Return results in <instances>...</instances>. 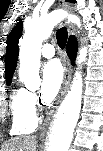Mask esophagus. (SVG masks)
<instances>
[{
    "instance_id": "esophagus-1",
    "label": "esophagus",
    "mask_w": 103,
    "mask_h": 151,
    "mask_svg": "<svg viewBox=\"0 0 103 151\" xmlns=\"http://www.w3.org/2000/svg\"><path fill=\"white\" fill-rule=\"evenodd\" d=\"M59 4L60 6H62L64 9L69 10L70 6L68 5V3L66 2V0H59ZM67 28L70 34H74L75 33V29L73 27L72 24L68 23L67 24ZM63 65H64V79H63V83H62V87L60 89L59 95H58V99L55 103V105L53 106V108L50 110L49 115L47 117V119L44 122V125L42 127V130L40 132L39 138L41 140H43L46 136L47 130L49 128V125L51 123L52 117L56 111V109L58 108V106L60 105V103L62 102L68 87H69V80H70V60L68 58V56L65 54L64 59H63Z\"/></svg>"
}]
</instances>
